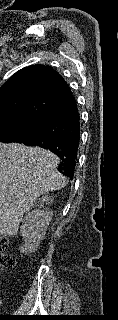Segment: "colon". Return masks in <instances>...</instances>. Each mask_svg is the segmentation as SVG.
<instances>
[{
  "mask_svg": "<svg viewBox=\"0 0 118 320\" xmlns=\"http://www.w3.org/2000/svg\"><path fill=\"white\" fill-rule=\"evenodd\" d=\"M4 245L0 246V263L11 264L9 259H6L3 255Z\"/></svg>",
  "mask_w": 118,
  "mask_h": 320,
  "instance_id": "colon-1",
  "label": "colon"
}]
</instances>
